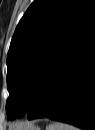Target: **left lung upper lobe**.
<instances>
[{
  "mask_svg": "<svg viewBox=\"0 0 95 130\" xmlns=\"http://www.w3.org/2000/svg\"><path fill=\"white\" fill-rule=\"evenodd\" d=\"M93 14L91 0H35L31 4L14 32L7 55L9 119L34 107L52 68Z\"/></svg>",
  "mask_w": 95,
  "mask_h": 130,
  "instance_id": "5c2ea615",
  "label": "left lung upper lobe"
}]
</instances>
